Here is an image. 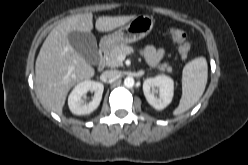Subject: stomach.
Masks as SVG:
<instances>
[{
  "instance_id": "obj_1",
  "label": "stomach",
  "mask_w": 248,
  "mask_h": 165,
  "mask_svg": "<svg viewBox=\"0 0 248 165\" xmlns=\"http://www.w3.org/2000/svg\"><path fill=\"white\" fill-rule=\"evenodd\" d=\"M154 25V20L148 15H139L121 26L113 33L103 37L102 41L110 46L130 44L147 36Z\"/></svg>"
}]
</instances>
